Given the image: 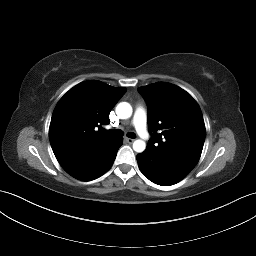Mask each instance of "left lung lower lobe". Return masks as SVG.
<instances>
[{
  "mask_svg": "<svg viewBox=\"0 0 256 256\" xmlns=\"http://www.w3.org/2000/svg\"><path fill=\"white\" fill-rule=\"evenodd\" d=\"M138 166L141 172L153 183L169 186L173 185L186 175L169 170L165 166L150 159L145 151L137 155Z\"/></svg>",
  "mask_w": 256,
  "mask_h": 256,
  "instance_id": "0a47b994",
  "label": "left lung lower lobe"
}]
</instances>
